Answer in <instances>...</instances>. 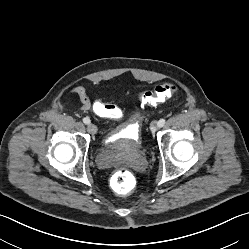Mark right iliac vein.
Returning <instances> with one entry per match:
<instances>
[{"mask_svg":"<svg viewBox=\"0 0 249 249\" xmlns=\"http://www.w3.org/2000/svg\"><path fill=\"white\" fill-rule=\"evenodd\" d=\"M87 130H88V132L91 133L92 135H95V134L97 133V131H98L96 125H94V124H92V123H89V124L87 125Z\"/></svg>","mask_w":249,"mask_h":249,"instance_id":"63e3f726","label":"right iliac vein"}]
</instances>
